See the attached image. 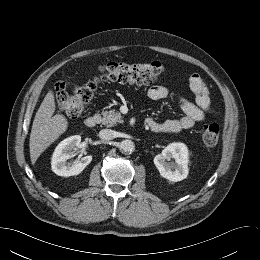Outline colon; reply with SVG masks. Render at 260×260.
Here are the masks:
<instances>
[{
	"label": "colon",
	"mask_w": 260,
	"mask_h": 260,
	"mask_svg": "<svg viewBox=\"0 0 260 260\" xmlns=\"http://www.w3.org/2000/svg\"><path fill=\"white\" fill-rule=\"evenodd\" d=\"M165 71V66L159 61L150 63H108L99 68V74L82 85L68 91L64 82L55 85L57 108L71 118H78L85 106L91 101L97 86L102 81L127 82L136 85H148L156 81ZM220 136L218 124L207 125L202 134L207 146L217 144Z\"/></svg>",
	"instance_id": "5ec220e1"
}]
</instances>
